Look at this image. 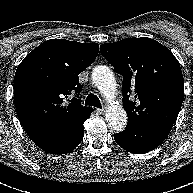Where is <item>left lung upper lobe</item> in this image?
<instances>
[{
  "label": "left lung upper lobe",
  "instance_id": "5c2ea615",
  "mask_svg": "<svg viewBox=\"0 0 193 193\" xmlns=\"http://www.w3.org/2000/svg\"><path fill=\"white\" fill-rule=\"evenodd\" d=\"M101 54L123 76V103L127 125H173L184 97L180 64L154 39L126 38L100 46Z\"/></svg>",
  "mask_w": 193,
  "mask_h": 193
}]
</instances>
